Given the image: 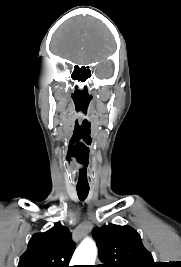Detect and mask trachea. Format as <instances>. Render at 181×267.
Wrapping results in <instances>:
<instances>
[{"mask_svg": "<svg viewBox=\"0 0 181 267\" xmlns=\"http://www.w3.org/2000/svg\"><path fill=\"white\" fill-rule=\"evenodd\" d=\"M77 194L80 200H85L88 193H89V187H76Z\"/></svg>", "mask_w": 181, "mask_h": 267, "instance_id": "obj_1", "label": "trachea"}]
</instances>
